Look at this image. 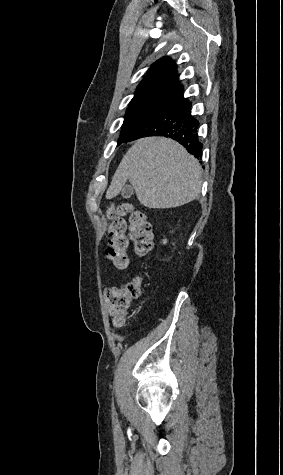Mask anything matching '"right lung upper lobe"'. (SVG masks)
Returning a JSON list of instances; mask_svg holds the SVG:
<instances>
[{
  "label": "right lung upper lobe",
  "mask_w": 283,
  "mask_h": 475,
  "mask_svg": "<svg viewBox=\"0 0 283 475\" xmlns=\"http://www.w3.org/2000/svg\"><path fill=\"white\" fill-rule=\"evenodd\" d=\"M182 88L177 80V69L170 58H162L154 63L143 78L134 97L161 89Z\"/></svg>",
  "instance_id": "cb5924a9"
}]
</instances>
